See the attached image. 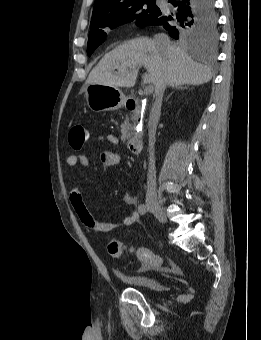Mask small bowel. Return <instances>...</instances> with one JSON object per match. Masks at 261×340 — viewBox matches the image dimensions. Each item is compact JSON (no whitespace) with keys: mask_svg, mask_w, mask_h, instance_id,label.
I'll return each mask as SVG.
<instances>
[{"mask_svg":"<svg viewBox=\"0 0 261 340\" xmlns=\"http://www.w3.org/2000/svg\"><path fill=\"white\" fill-rule=\"evenodd\" d=\"M87 139L105 142L113 146H116L119 143L118 138L113 134L104 133L93 136L88 130ZM100 160L102 164L105 166H114L121 161V154L105 150L101 152ZM67 164L69 166L81 165L82 167L87 168L89 166V159L87 156L75 152L68 156ZM123 200L126 204L130 206H136L137 204L136 198L130 194H126ZM69 201L76 215L83 223V225L94 232L109 233L123 226H131L139 221V211L137 210H134L130 215L124 217L119 221L115 222L97 221L89 211L87 205L85 204L81 189L79 187H73L70 190Z\"/></svg>","mask_w":261,"mask_h":340,"instance_id":"1","label":"small bowel"}]
</instances>
